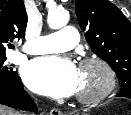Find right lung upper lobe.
Here are the masks:
<instances>
[{"instance_id":"obj_1","label":"right lung upper lobe","mask_w":131,"mask_h":115,"mask_svg":"<svg viewBox=\"0 0 131 115\" xmlns=\"http://www.w3.org/2000/svg\"><path fill=\"white\" fill-rule=\"evenodd\" d=\"M26 25L23 0H0V53L14 48L13 40L23 36Z\"/></svg>"}]
</instances>
